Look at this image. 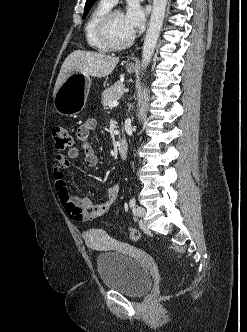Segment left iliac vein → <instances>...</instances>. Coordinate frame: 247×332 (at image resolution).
I'll return each mask as SVG.
<instances>
[{
    "instance_id": "obj_1",
    "label": "left iliac vein",
    "mask_w": 247,
    "mask_h": 332,
    "mask_svg": "<svg viewBox=\"0 0 247 332\" xmlns=\"http://www.w3.org/2000/svg\"><path fill=\"white\" fill-rule=\"evenodd\" d=\"M135 212H136V215H137L139 218L144 217L145 214H146V210H145L143 207H141V206H138V207L136 208Z\"/></svg>"
}]
</instances>
